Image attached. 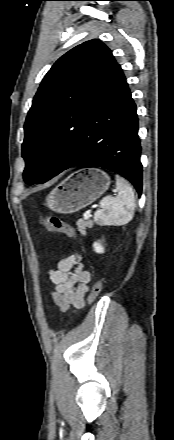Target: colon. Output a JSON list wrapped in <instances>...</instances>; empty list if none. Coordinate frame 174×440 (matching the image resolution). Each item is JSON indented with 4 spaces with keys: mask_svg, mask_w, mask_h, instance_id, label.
Returning <instances> with one entry per match:
<instances>
[{
    "mask_svg": "<svg viewBox=\"0 0 174 440\" xmlns=\"http://www.w3.org/2000/svg\"><path fill=\"white\" fill-rule=\"evenodd\" d=\"M41 225L49 231L63 233L67 237L74 238L76 236L74 228L65 224L59 217L54 215H41L39 217ZM103 288L102 279H98L92 286L88 296V302L92 304L99 296Z\"/></svg>",
    "mask_w": 174,
    "mask_h": 440,
    "instance_id": "5ec220e1",
    "label": "colon"
}]
</instances>
